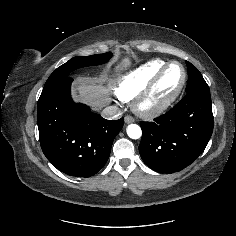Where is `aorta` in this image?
Here are the masks:
<instances>
[{
    "instance_id": "762f6f07",
    "label": "aorta",
    "mask_w": 236,
    "mask_h": 236,
    "mask_svg": "<svg viewBox=\"0 0 236 236\" xmlns=\"http://www.w3.org/2000/svg\"><path fill=\"white\" fill-rule=\"evenodd\" d=\"M127 135L132 139H139L142 136L140 126L137 124H130L127 127Z\"/></svg>"
}]
</instances>
